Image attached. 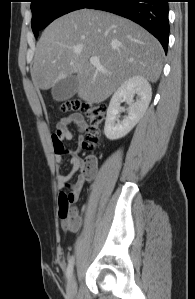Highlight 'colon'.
I'll return each instance as SVG.
<instances>
[{
    "instance_id": "obj_1",
    "label": "colon",
    "mask_w": 195,
    "mask_h": 299,
    "mask_svg": "<svg viewBox=\"0 0 195 299\" xmlns=\"http://www.w3.org/2000/svg\"><path fill=\"white\" fill-rule=\"evenodd\" d=\"M60 109L63 112H81L89 119L90 127L86 132L85 138L82 142V147L85 149L92 148L99 139L100 126L104 121L107 111L106 105L102 103L85 102L79 99H70L64 102ZM88 160L84 163L83 173L86 178H91L93 176V172L89 166ZM69 192L62 193L60 196V217H73L77 213L74 205V196Z\"/></svg>"
}]
</instances>
